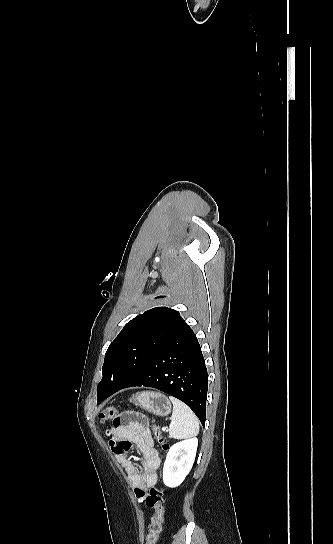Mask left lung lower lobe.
I'll return each mask as SVG.
<instances>
[{
  "instance_id": "0a47b994",
  "label": "left lung lower lobe",
  "mask_w": 333,
  "mask_h": 544,
  "mask_svg": "<svg viewBox=\"0 0 333 544\" xmlns=\"http://www.w3.org/2000/svg\"><path fill=\"white\" fill-rule=\"evenodd\" d=\"M131 386L153 387L178 398L193 410L205 426L207 369L196 335L187 323L121 389ZM119 390L97 393V403Z\"/></svg>"
}]
</instances>
